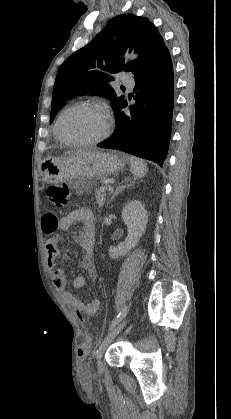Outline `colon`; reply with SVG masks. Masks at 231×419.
Instances as JSON below:
<instances>
[{"label": "colon", "instance_id": "obj_1", "mask_svg": "<svg viewBox=\"0 0 231 419\" xmlns=\"http://www.w3.org/2000/svg\"><path fill=\"white\" fill-rule=\"evenodd\" d=\"M69 195L70 191L67 184L52 185L46 191L48 200L57 208H65L68 205ZM89 344L90 340L86 339V342L81 347L86 348Z\"/></svg>", "mask_w": 231, "mask_h": 419}]
</instances>
